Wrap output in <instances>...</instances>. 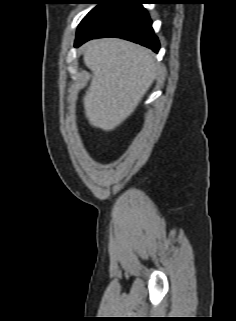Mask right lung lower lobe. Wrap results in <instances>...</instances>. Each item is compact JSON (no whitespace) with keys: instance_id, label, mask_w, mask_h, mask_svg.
<instances>
[{"instance_id":"98d812e1","label":"right lung lower lobe","mask_w":236,"mask_h":321,"mask_svg":"<svg viewBox=\"0 0 236 321\" xmlns=\"http://www.w3.org/2000/svg\"><path fill=\"white\" fill-rule=\"evenodd\" d=\"M143 0H111L77 32L75 46L102 37L133 41L158 52L160 44Z\"/></svg>"}]
</instances>
